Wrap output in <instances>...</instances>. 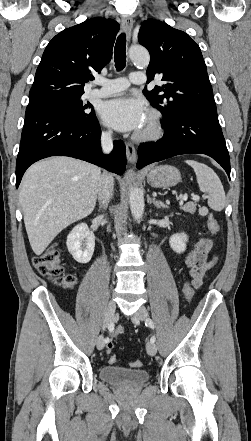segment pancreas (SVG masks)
Returning <instances> with one entry per match:
<instances>
[{"instance_id": "1", "label": "pancreas", "mask_w": 251, "mask_h": 441, "mask_svg": "<svg viewBox=\"0 0 251 441\" xmlns=\"http://www.w3.org/2000/svg\"><path fill=\"white\" fill-rule=\"evenodd\" d=\"M197 204L195 202H188L181 209L185 212H189L190 214H194L196 211Z\"/></svg>"}]
</instances>
